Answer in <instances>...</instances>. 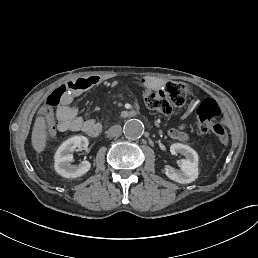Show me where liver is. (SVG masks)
<instances>
[{"label":"liver","mask_w":258,"mask_h":258,"mask_svg":"<svg viewBox=\"0 0 258 258\" xmlns=\"http://www.w3.org/2000/svg\"><path fill=\"white\" fill-rule=\"evenodd\" d=\"M46 130L43 118H37L32 133V144L37 152H41L45 147Z\"/></svg>","instance_id":"6515ba94"}]
</instances>
